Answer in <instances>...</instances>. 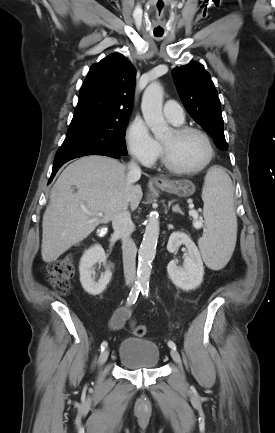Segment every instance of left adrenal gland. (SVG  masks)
Wrapping results in <instances>:
<instances>
[{"label": "left adrenal gland", "instance_id": "left-adrenal-gland-1", "mask_svg": "<svg viewBox=\"0 0 275 433\" xmlns=\"http://www.w3.org/2000/svg\"><path fill=\"white\" fill-rule=\"evenodd\" d=\"M172 211H173V212L180 213V214H183L182 211H181V209L179 208L178 205L173 206V207H172Z\"/></svg>", "mask_w": 275, "mask_h": 433}]
</instances>
